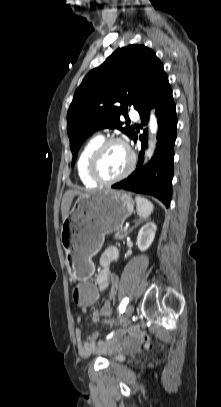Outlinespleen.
I'll return each instance as SVG.
<instances>
[{
    "label": "spleen",
    "instance_id": "spleen-1",
    "mask_svg": "<svg viewBox=\"0 0 221 407\" xmlns=\"http://www.w3.org/2000/svg\"><path fill=\"white\" fill-rule=\"evenodd\" d=\"M135 201L137 206V214L142 218H148L153 212V204L142 196H136Z\"/></svg>",
    "mask_w": 221,
    "mask_h": 407
}]
</instances>
